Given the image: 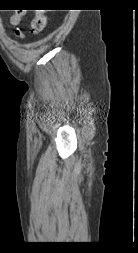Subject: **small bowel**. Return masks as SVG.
<instances>
[{
  "label": "small bowel",
  "instance_id": "1",
  "mask_svg": "<svg viewBox=\"0 0 138 253\" xmlns=\"http://www.w3.org/2000/svg\"><path fill=\"white\" fill-rule=\"evenodd\" d=\"M20 14H16L13 18H12V23L14 24V25H17L18 24V22H19V19H20ZM15 36L16 37H18V38H24V34H23V32L19 29V28H17L16 29V31H15Z\"/></svg>",
  "mask_w": 138,
  "mask_h": 253
}]
</instances>
